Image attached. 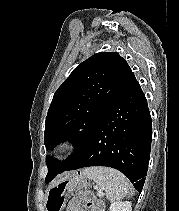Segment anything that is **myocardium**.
I'll use <instances>...</instances> for the list:
<instances>
[{
	"label": "myocardium",
	"mask_w": 179,
	"mask_h": 211,
	"mask_svg": "<svg viewBox=\"0 0 179 211\" xmlns=\"http://www.w3.org/2000/svg\"><path fill=\"white\" fill-rule=\"evenodd\" d=\"M71 147V143L69 140H62L58 142L54 148V154L56 156H63L65 155Z\"/></svg>",
	"instance_id": "obj_1"
}]
</instances>
